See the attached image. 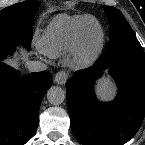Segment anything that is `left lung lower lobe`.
Instances as JSON below:
<instances>
[{
    "label": "left lung lower lobe",
    "instance_id": "left-lung-lower-lobe-1",
    "mask_svg": "<svg viewBox=\"0 0 145 145\" xmlns=\"http://www.w3.org/2000/svg\"><path fill=\"white\" fill-rule=\"evenodd\" d=\"M109 72L118 86L114 101L100 103L94 81ZM66 96L71 128L83 145H122L138 131L145 116V62H111L102 56L69 79Z\"/></svg>",
    "mask_w": 145,
    "mask_h": 145
}]
</instances>
